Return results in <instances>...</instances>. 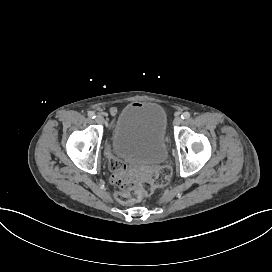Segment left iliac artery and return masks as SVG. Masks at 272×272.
<instances>
[{"label":"left iliac artery","instance_id":"left-iliac-artery-1","mask_svg":"<svg viewBox=\"0 0 272 272\" xmlns=\"http://www.w3.org/2000/svg\"><path fill=\"white\" fill-rule=\"evenodd\" d=\"M181 118L184 120V119H188L190 118V113L189 112H184L182 115H181Z\"/></svg>","mask_w":272,"mask_h":272}]
</instances>
